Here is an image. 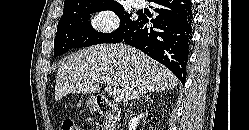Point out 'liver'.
<instances>
[{"mask_svg": "<svg viewBox=\"0 0 249 130\" xmlns=\"http://www.w3.org/2000/svg\"><path fill=\"white\" fill-rule=\"evenodd\" d=\"M110 79L124 92V104L146 93L173 89L177 77L143 52L125 44L96 45L65 58L57 71L55 100L69 93L94 94L97 80Z\"/></svg>", "mask_w": 249, "mask_h": 130, "instance_id": "obj_1", "label": "liver"}]
</instances>
